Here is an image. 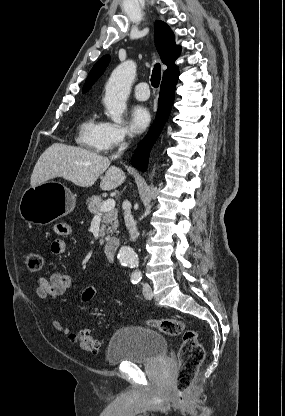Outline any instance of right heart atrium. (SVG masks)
Returning a JSON list of instances; mask_svg holds the SVG:
<instances>
[{"instance_id": "d8ad5b80", "label": "right heart atrium", "mask_w": 285, "mask_h": 416, "mask_svg": "<svg viewBox=\"0 0 285 416\" xmlns=\"http://www.w3.org/2000/svg\"><path fill=\"white\" fill-rule=\"evenodd\" d=\"M129 134V130L122 124L103 119L98 137V148L104 152L118 148L126 142Z\"/></svg>"}]
</instances>
